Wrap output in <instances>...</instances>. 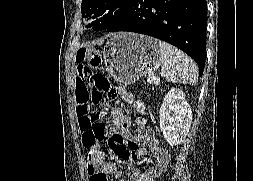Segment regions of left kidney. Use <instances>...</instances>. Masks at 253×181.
I'll return each mask as SVG.
<instances>
[{
  "mask_svg": "<svg viewBox=\"0 0 253 181\" xmlns=\"http://www.w3.org/2000/svg\"><path fill=\"white\" fill-rule=\"evenodd\" d=\"M160 129L170 146L181 144L191 126L192 111L182 90L172 88L164 97L160 111Z\"/></svg>",
  "mask_w": 253,
  "mask_h": 181,
  "instance_id": "obj_1",
  "label": "left kidney"
}]
</instances>
